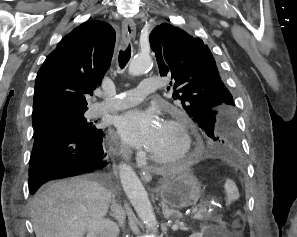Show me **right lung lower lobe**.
Wrapping results in <instances>:
<instances>
[{"mask_svg":"<svg viewBox=\"0 0 297 237\" xmlns=\"http://www.w3.org/2000/svg\"><path fill=\"white\" fill-rule=\"evenodd\" d=\"M102 137L101 129L93 136H85L63 122H53L41 128L34 134L29 192L34 194L51 180L102 173L107 166Z\"/></svg>","mask_w":297,"mask_h":237,"instance_id":"right-lung-lower-lobe-1","label":"right lung lower lobe"}]
</instances>
